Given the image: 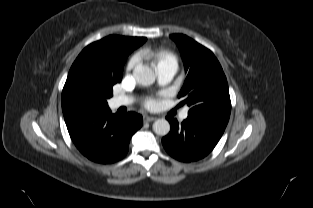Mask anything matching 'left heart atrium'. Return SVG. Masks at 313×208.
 Segmentation results:
<instances>
[{
    "label": "left heart atrium",
    "mask_w": 313,
    "mask_h": 208,
    "mask_svg": "<svg viewBox=\"0 0 313 208\" xmlns=\"http://www.w3.org/2000/svg\"><path fill=\"white\" fill-rule=\"evenodd\" d=\"M156 101L155 99H148L146 102H145V106L148 108V109H154L156 107Z\"/></svg>",
    "instance_id": "39dd6f15"
}]
</instances>
